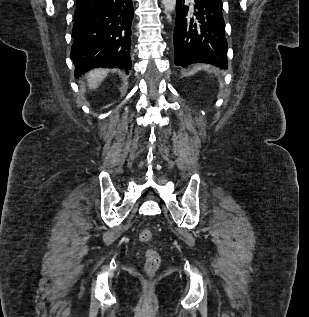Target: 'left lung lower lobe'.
<instances>
[{
  "mask_svg": "<svg viewBox=\"0 0 309 317\" xmlns=\"http://www.w3.org/2000/svg\"><path fill=\"white\" fill-rule=\"evenodd\" d=\"M221 0L176 2L175 65L200 62L228 68L225 21Z\"/></svg>",
  "mask_w": 309,
  "mask_h": 317,
  "instance_id": "obj_1",
  "label": "left lung lower lobe"
}]
</instances>
